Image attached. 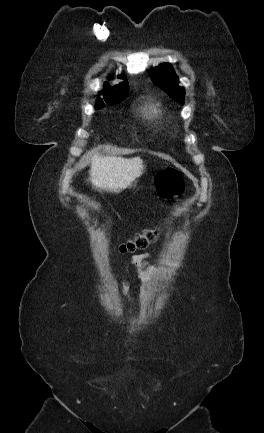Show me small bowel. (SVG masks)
<instances>
[{
	"label": "small bowel",
	"instance_id": "small-bowel-1",
	"mask_svg": "<svg viewBox=\"0 0 264 433\" xmlns=\"http://www.w3.org/2000/svg\"><path fill=\"white\" fill-rule=\"evenodd\" d=\"M151 255L149 253H143L134 255L130 258V263L136 268L137 275L143 281H146L152 270L148 266L146 259H148ZM128 288V282H124V292Z\"/></svg>",
	"mask_w": 264,
	"mask_h": 433
}]
</instances>
